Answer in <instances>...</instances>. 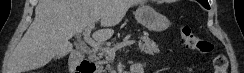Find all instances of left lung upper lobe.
<instances>
[{"instance_id":"obj_1","label":"left lung upper lobe","mask_w":244,"mask_h":73,"mask_svg":"<svg viewBox=\"0 0 244 73\" xmlns=\"http://www.w3.org/2000/svg\"><path fill=\"white\" fill-rule=\"evenodd\" d=\"M204 3H205V5H203L205 8H207V5H209L208 4V0H204Z\"/></svg>"}]
</instances>
